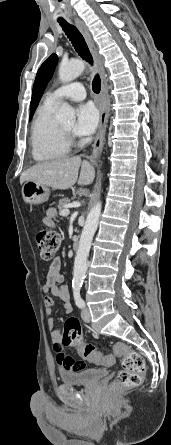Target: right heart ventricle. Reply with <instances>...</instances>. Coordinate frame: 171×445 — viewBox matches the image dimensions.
I'll return each instance as SVG.
<instances>
[{"mask_svg": "<svg viewBox=\"0 0 171 445\" xmlns=\"http://www.w3.org/2000/svg\"><path fill=\"white\" fill-rule=\"evenodd\" d=\"M55 104L44 103L37 111L31 127L32 156L37 161L65 156L69 145L54 119Z\"/></svg>", "mask_w": 171, "mask_h": 445, "instance_id": "1", "label": "right heart ventricle"}]
</instances>
